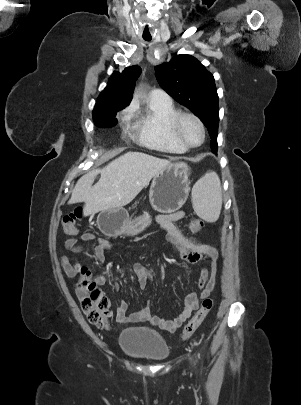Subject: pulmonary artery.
<instances>
[{
    "mask_svg": "<svg viewBox=\"0 0 301 405\" xmlns=\"http://www.w3.org/2000/svg\"><path fill=\"white\" fill-rule=\"evenodd\" d=\"M150 102L162 104V105H169L172 104V100L170 96L161 89H154L150 92L148 97Z\"/></svg>",
    "mask_w": 301,
    "mask_h": 405,
    "instance_id": "pulmonary-artery-1",
    "label": "pulmonary artery"
}]
</instances>
